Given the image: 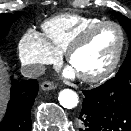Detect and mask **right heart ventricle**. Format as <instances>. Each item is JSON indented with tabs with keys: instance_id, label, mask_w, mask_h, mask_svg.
Returning a JSON list of instances; mask_svg holds the SVG:
<instances>
[{
	"instance_id": "e07e8e85",
	"label": "right heart ventricle",
	"mask_w": 131,
	"mask_h": 131,
	"mask_svg": "<svg viewBox=\"0 0 131 131\" xmlns=\"http://www.w3.org/2000/svg\"><path fill=\"white\" fill-rule=\"evenodd\" d=\"M100 21L97 17L65 13L46 20L42 30L45 39L61 54L84 29Z\"/></svg>"
}]
</instances>
